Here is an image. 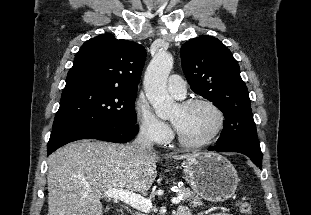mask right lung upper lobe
Wrapping results in <instances>:
<instances>
[{
  "label": "right lung upper lobe",
  "instance_id": "obj_1",
  "mask_svg": "<svg viewBox=\"0 0 311 215\" xmlns=\"http://www.w3.org/2000/svg\"><path fill=\"white\" fill-rule=\"evenodd\" d=\"M146 59L145 48L135 42L101 34L77 52L66 86L90 84L137 91Z\"/></svg>",
  "mask_w": 311,
  "mask_h": 215
}]
</instances>
